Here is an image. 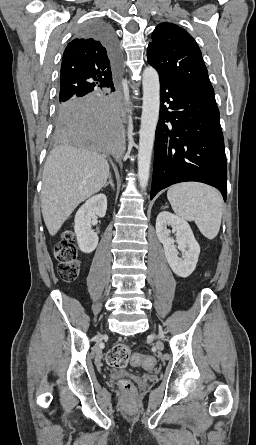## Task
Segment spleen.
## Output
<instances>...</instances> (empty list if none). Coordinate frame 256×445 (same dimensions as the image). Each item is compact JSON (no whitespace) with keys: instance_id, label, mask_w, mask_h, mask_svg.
Returning a JSON list of instances; mask_svg holds the SVG:
<instances>
[{"instance_id":"3e777b00","label":"spleen","mask_w":256,"mask_h":445,"mask_svg":"<svg viewBox=\"0 0 256 445\" xmlns=\"http://www.w3.org/2000/svg\"><path fill=\"white\" fill-rule=\"evenodd\" d=\"M167 198L173 211L185 220L194 221L206 238L217 236L223 199L215 188L195 182L175 184L169 188Z\"/></svg>"}]
</instances>
